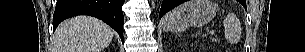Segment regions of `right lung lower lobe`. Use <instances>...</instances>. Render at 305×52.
<instances>
[{"label": "right lung lower lobe", "instance_id": "98d812e1", "mask_svg": "<svg viewBox=\"0 0 305 52\" xmlns=\"http://www.w3.org/2000/svg\"><path fill=\"white\" fill-rule=\"evenodd\" d=\"M125 0H57L53 16V28L66 18L90 15L111 26L123 42L124 16L122 5Z\"/></svg>", "mask_w": 305, "mask_h": 52}]
</instances>
